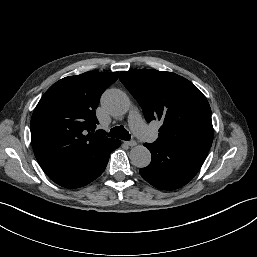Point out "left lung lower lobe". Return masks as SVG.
<instances>
[{"label":"left lung lower lobe","mask_w":257,"mask_h":257,"mask_svg":"<svg viewBox=\"0 0 257 257\" xmlns=\"http://www.w3.org/2000/svg\"><path fill=\"white\" fill-rule=\"evenodd\" d=\"M152 154L151 163L140 169L141 176L154 187L174 190L187 184L201 168L208 147L144 144Z\"/></svg>","instance_id":"1"}]
</instances>
